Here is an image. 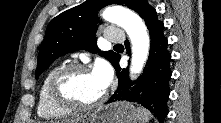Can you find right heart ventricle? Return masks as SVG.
Instances as JSON below:
<instances>
[{
	"label": "right heart ventricle",
	"instance_id": "e07e8e85",
	"mask_svg": "<svg viewBox=\"0 0 221 123\" xmlns=\"http://www.w3.org/2000/svg\"><path fill=\"white\" fill-rule=\"evenodd\" d=\"M59 67H54L48 71L44 77L38 95L37 113L44 119H62L70 115V111L57 106L49 95V82L53 73Z\"/></svg>",
	"mask_w": 221,
	"mask_h": 123
}]
</instances>
